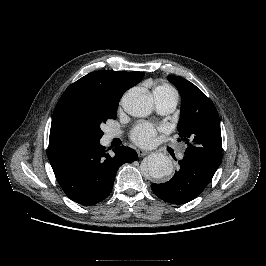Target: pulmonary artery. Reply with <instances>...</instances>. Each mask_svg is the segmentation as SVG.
<instances>
[{
    "label": "pulmonary artery",
    "mask_w": 266,
    "mask_h": 266,
    "mask_svg": "<svg viewBox=\"0 0 266 266\" xmlns=\"http://www.w3.org/2000/svg\"><path fill=\"white\" fill-rule=\"evenodd\" d=\"M155 100H156L157 110L161 114H169L173 112L178 104L177 94H156ZM115 136H117L115 132H109L107 134L108 139H112ZM184 149H185L184 147L180 149V154H179L180 157L183 156Z\"/></svg>",
    "instance_id": "pulmonary-artery-1"
}]
</instances>
